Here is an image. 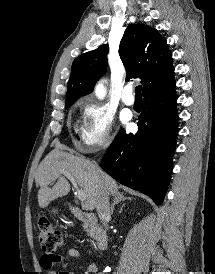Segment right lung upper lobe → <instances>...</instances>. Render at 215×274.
<instances>
[{
  "label": "right lung upper lobe",
  "instance_id": "right-lung-upper-lobe-1",
  "mask_svg": "<svg viewBox=\"0 0 215 274\" xmlns=\"http://www.w3.org/2000/svg\"><path fill=\"white\" fill-rule=\"evenodd\" d=\"M107 53L105 44L73 61L65 105L92 92L96 81L106 71ZM119 55L126 68V80L141 79L143 96L175 83L172 54L155 28L145 24L129 25L121 39Z\"/></svg>",
  "mask_w": 215,
  "mask_h": 274
}]
</instances>
